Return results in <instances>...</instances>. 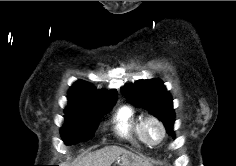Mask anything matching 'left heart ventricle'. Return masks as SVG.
Listing matches in <instances>:
<instances>
[{
	"label": "left heart ventricle",
	"instance_id": "obj_1",
	"mask_svg": "<svg viewBox=\"0 0 236 166\" xmlns=\"http://www.w3.org/2000/svg\"><path fill=\"white\" fill-rule=\"evenodd\" d=\"M147 135L152 141H156L160 136L159 127L154 123L148 124V126H147Z\"/></svg>",
	"mask_w": 236,
	"mask_h": 166
}]
</instances>
